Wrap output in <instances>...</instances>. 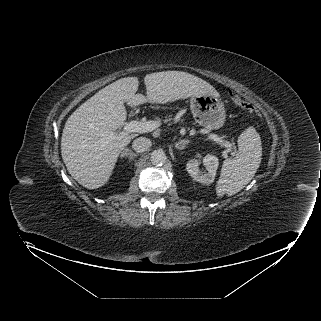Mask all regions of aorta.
<instances>
[{
    "instance_id": "762f6f07",
    "label": "aorta",
    "mask_w": 321,
    "mask_h": 321,
    "mask_svg": "<svg viewBox=\"0 0 321 321\" xmlns=\"http://www.w3.org/2000/svg\"><path fill=\"white\" fill-rule=\"evenodd\" d=\"M166 154L163 150L157 149L151 153L150 161L153 165L161 166L166 162Z\"/></svg>"
}]
</instances>
